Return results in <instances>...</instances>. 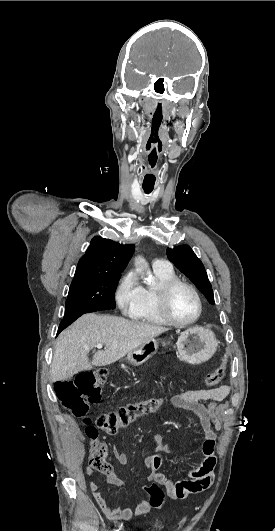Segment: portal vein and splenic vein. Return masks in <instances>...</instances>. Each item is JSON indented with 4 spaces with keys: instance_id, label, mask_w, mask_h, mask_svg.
<instances>
[{
    "instance_id": "portal-vein-and-splenic-vein-1",
    "label": "portal vein and splenic vein",
    "mask_w": 275,
    "mask_h": 531,
    "mask_svg": "<svg viewBox=\"0 0 275 531\" xmlns=\"http://www.w3.org/2000/svg\"><path fill=\"white\" fill-rule=\"evenodd\" d=\"M96 349H103V345H96ZM89 351V349H87Z\"/></svg>"
}]
</instances>
